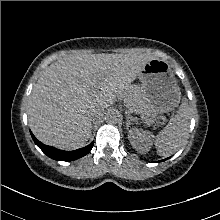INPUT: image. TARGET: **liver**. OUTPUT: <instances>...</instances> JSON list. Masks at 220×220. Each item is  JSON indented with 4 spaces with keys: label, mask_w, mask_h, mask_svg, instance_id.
Returning <instances> with one entry per match:
<instances>
[{
    "label": "liver",
    "mask_w": 220,
    "mask_h": 220,
    "mask_svg": "<svg viewBox=\"0 0 220 220\" xmlns=\"http://www.w3.org/2000/svg\"><path fill=\"white\" fill-rule=\"evenodd\" d=\"M147 54H76L52 63L40 76L28 101L32 132L42 143L61 150L88 141L93 109H105L130 87Z\"/></svg>",
    "instance_id": "obj_1"
}]
</instances>
